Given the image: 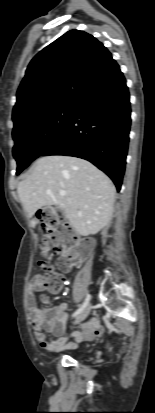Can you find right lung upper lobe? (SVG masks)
<instances>
[{"label":"right lung upper lobe","instance_id":"1","mask_svg":"<svg viewBox=\"0 0 155 413\" xmlns=\"http://www.w3.org/2000/svg\"><path fill=\"white\" fill-rule=\"evenodd\" d=\"M119 69L95 37L68 31L28 65L13 108L14 128L59 106L76 104Z\"/></svg>","mask_w":155,"mask_h":413}]
</instances>
